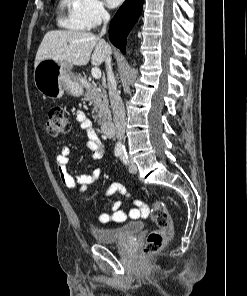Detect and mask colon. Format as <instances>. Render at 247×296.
Masks as SVG:
<instances>
[{
    "label": "colon",
    "instance_id": "colon-1",
    "mask_svg": "<svg viewBox=\"0 0 247 296\" xmlns=\"http://www.w3.org/2000/svg\"><path fill=\"white\" fill-rule=\"evenodd\" d=\"M46 131L51 136H60L70 131V122L63 108L52 107L50 109L46 123ZM147 215L152 216L155 229L148 234L143 252L145 255H153L160 252L165 247L173 235L174 228L167 207L161 201L153 202L150 208L144 206L140 214H135L136 218Z\"/></svg>",
    "mask_w": 247,
    "mask_h": 296
}]
</instances>
